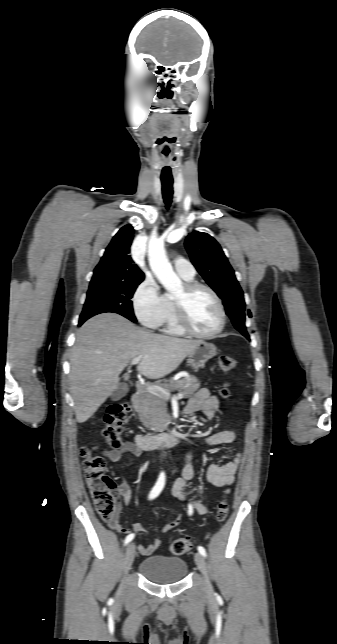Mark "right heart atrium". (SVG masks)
Segmentation results:
<instances>
[{"instance_id": "right-heart-atrium-1", "label": "right heart atrium", "mask_w": 337, "mask_h": 644, "mask_svg": "<svg viewBox=\"0 0 337 644\" xmlns=\"http://www.w3.org/2000/svg\"><path fill=\"white\" fill-rule=\"evenodd\" d=\"M133 306L138 320L146 327L157 328L165 313V299L153 278H146L136 289Z\"/></svg>"}]
</instances>
